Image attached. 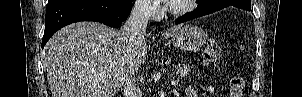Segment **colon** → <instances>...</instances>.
Returning a JSON list of instances; mask_svg holds the SVG:
<instances>
[{
    "mask_svg": "<svg viewBox=\"0 0 302 97\" xmlns=\"http://www.w3.org/2000/svg\"><path fill=\"white\" fill-rule=\"evenodd\" d=\"M222 50V45L217 40H210L207 42L203 51V61L206 65L214 63ZM230 95L229 97H241L245 89V81L240 76L232 77L229 84Z\"/></svg>",
    "mask_w": 302,
    "mask_h": 97,
    "instance_id": "colon-1",
    "label": "colon"
}]
</instances>
